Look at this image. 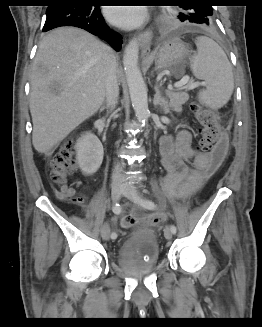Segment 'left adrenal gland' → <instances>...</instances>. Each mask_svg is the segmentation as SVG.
<instances>
[{
  "label": "left adrenal gland",
  "instance_id": "obj_1",
  "mask_svg": "<svg viewBox=\"0 0 262 327\" xmlns=\"http://www.w3.org/2000/svg\"><path fill=\"white\" fill-rule=\"evenodd\" d=\"M154 90H155V95L153 98L154 107H160V109H162L165 114L169 113L168 102L164 97H162L159 87L157 85L154 87Z\"/></svg>",
  "mask_w": 262,
  "mask_h": 327
}]
</instances>
